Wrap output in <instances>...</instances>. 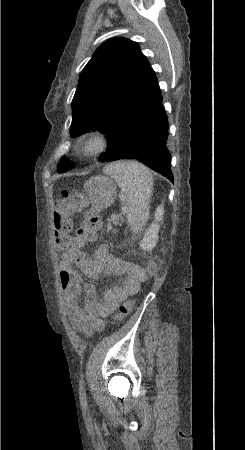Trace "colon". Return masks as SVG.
Wrapping results in <instances>:
<instances>
[{
	"mask_svg": "<svg viewBox=\"0 0 245 450\" xmlns=\"http://www.w3.org/2000/svg\"><path fill=\"white\" fill-rule=\"evenodd\" d=\"M84 213L81 225L72 233L71 217L75 213ZM101 228L100 217L92 206L89 198L76 189H64L61 195L54 200L52 215V229L55 246L59 252H67L69 249H80L97 239V233ZM158 271V262L150 260L145 263L144 274L153 277ZM133 302L126 301L120 305L117 319L123 318L132 308Z\"/></svg>",
	"mask_w": 245,
	"mask_h": 450,
	"instance_id": "5ec220e1",
	"label": "colon"
}]
</instances>
